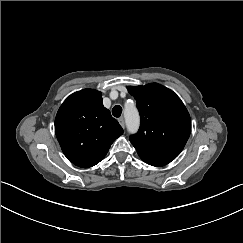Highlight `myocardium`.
<instances>
[{
    "label": "myocardium",
    "instance_id": "1",
    "mask_svg": "<svg viewBox=\"0 0 243 243\" xmlns=\"http://www.w3.org/2000/svg\"><path fill=\"white\" fill-rule=\"evenodd\" d=\"M130 104H131V102H130V101H128V102H127V105H130Z\"/></svg>",
    "mask_w": 243,
    "mask_h": 243
}]
</instances>
